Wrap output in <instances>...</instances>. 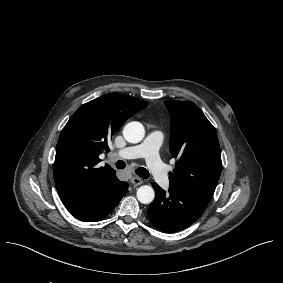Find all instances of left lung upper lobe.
<instances>
[{
	"instance_id": "left-lung-upper-lobe-1",
	"label": "left lung upper lobe",
	"mask_w": 283,
	"mask_h": 283,
	"mask_svg": "<svg viewBox=\"0 0 283 283\" xmlns=\"http://www.w3.org/2000/svg\"><path fill=\"white\" fill-rule=\"evenodd\" d=\"M164 104L171 117L169 149L177 160L173 173H169L170 187L209 202L222 166L216 130L193 102L165 101Z\"/></svg>"
}]
</instances>
